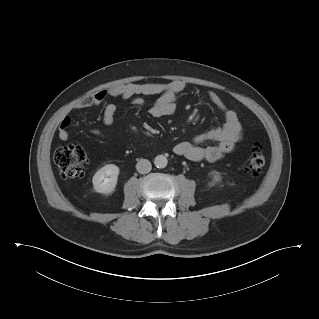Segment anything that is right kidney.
<instances>
[{
  "label": "right kidney",
  "mask_w": 319,
  "mask_h": 319,
  "mask_svg": "<svg viewBox=\"0 0 319 319\" xmlns=\"http://www.w3.org/2000/svg\"><path fill=\"white\" fill-rule=\"evenodd\" d=\"M119 168L114 164H107L93 176L94 190L98 193H110L117 184Z\"/></svg>",
  "instance_id": "ca27d5eb"
}]
</instances>
